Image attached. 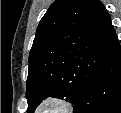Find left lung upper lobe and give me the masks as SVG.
<instances>
[{"mask_svg": "<svg viewBox=\"0 0 121 113\" xmlns=\"http://www.w3.org/2000/svg\"><path fill=\"white\" fill-rule=\"evenodd\" d=\"M117 42L99 0H55L40 20L29 54L28 113L47 97L75 105Z\"/></svg>", "mask_w": 121, "mask_h": 113, "instance_id": "1", "label": "left lung upper lobe"}]
</instances>
